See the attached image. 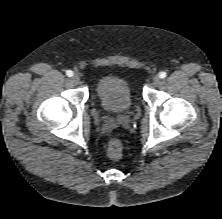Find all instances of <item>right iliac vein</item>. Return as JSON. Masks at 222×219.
I'll list each match as a JSON object with an SVG mask.
<instances>
[{"mask_svg":"<svg viewBox=\"0 0 222 219\" xmlns=\"http://www.w3.org/2000/svg\"><path fill=\"white\" fill-rule=\"evenodd\" d=\"M72 82L77 85L80 82V77L77 74H74L71 78Z\"/></svg>","mask_w":222,"mask_h":219,"instance_id":"63e3f726","label":"right iliac vein"}]
</instances>
